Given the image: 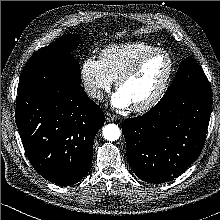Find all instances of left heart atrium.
<instances>
[{"label":"left heart atrium","instance_id":"obj_1","mask_svg":"<svg viewBox=\"0 0 220 220\" xmlns=\"http://www.w3.org/2000/svg\"><path fill=\"white\" fill-rule=\"evenodd\" d=\"M111 102H112L113 106L120 108V109H125V108H128L129 106H131L130 100L119 89L112 96Z\"/></svg>","mask_w":220,"mask_h":220}]
</instances>
